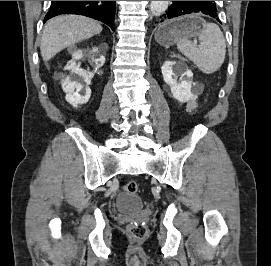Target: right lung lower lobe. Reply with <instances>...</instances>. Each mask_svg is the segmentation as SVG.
I'll list each match as a JSON object with an SVG mask.
<instances>
[{"label": "right lung lower lobe", "mask_w": 271, "mask_h": 266, "mask_svg": "<svg viewBox=\"0 0 271 266\" xmlns=\"http://www.w3.org/2000/svg\"><path fill=\"white\" fill-rule=\"evenodd\" d=\"M116 1H51L44 22L60 14H78L97 19L114 29Z\"/></svg>", "instance_id": "98d812e1"}]
</instances>
